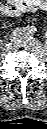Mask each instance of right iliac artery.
<instances>
[{"mask_svg": "<svg viewBox=\"0 0 47 129\" xmlns=\"http://www.w3.org/2000/svg\"><path fill=\"white\" fill-rule=\"evenodd\" d=\"M26 30L30 33H34L36 31V28L34 26H28Z\"/></svg>", "mask_w": 47, "mask_h": 129, "instance_id": "1", "label": "right iliac artery"}]
</instances>
